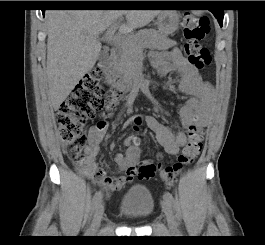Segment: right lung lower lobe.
I'll return each instance as SVG.
<instances>
[{
  "label": "right lung lower lobe",
  "mask_w": 265,
  "mask_h": 245,
  "mask_svg": "<svg viewBox=\"0 0 265 245\" xmlns=\"http://www.w3.org/2000/svg\"><path fill=\"white\" fill-rule=\"evenodd\" d=\"M42 12H43V15H44V13H45V10H42Z\"/></svg>",
  "instance_id": "right-lung-lower-lobe-1"
}]
</instances>
